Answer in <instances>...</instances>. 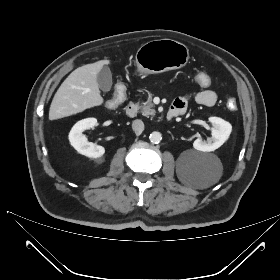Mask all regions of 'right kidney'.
I'll return each mask as SVG.
<instances>
[{
  "mask_svg": "<svg viewBox=\"0 0 280 280\" xmlns=\"http://www.w3.org/2000/svg\"><path fill=\"white\" fill-rule=\"evenodd\" d=\"M97 124L95 118H86L78 121L69 133V141L71 145L82 155L89 158H100L104 155L105 149L102 146L89 142L82 134L86 129H93Z\"/></svg>",
  "mask_w": 280,
  "mask_h": 280,
  "instance_id": "1",
  "label": "right kidney"
}]
</instances>
